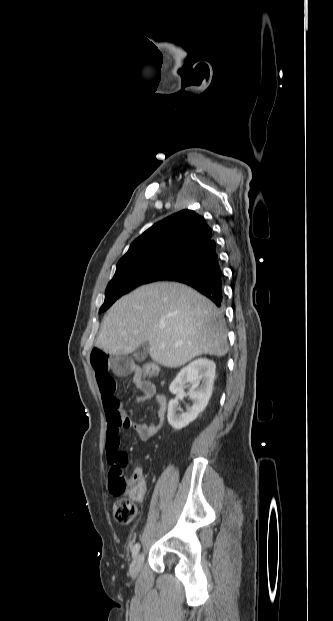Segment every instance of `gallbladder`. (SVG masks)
Returning a JSON list of instances; mask_svg holds the SVG:
<instances>
[{"label":"gallbladder","mask_w":333,"mask_h":621,"mask_svg":"<svg viewBox=\"0 0 333 621\" xmlns=\"http://www.w3.org/2000/svg\"><path fill=\"white\" fill-rule=\"evenodd\" d=\"M148 353H149V343L144 342L135 350L133 357L135 360L142 362L148 356Z\"/></svg>","instance_id":"gallbladder-1"}]
</instances>
